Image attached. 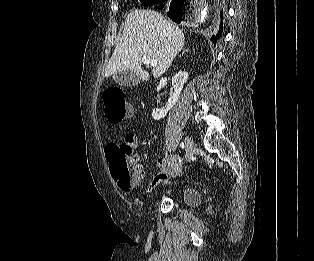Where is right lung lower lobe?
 Wrapping results in <instances>:
<instances>
[{"mask_svg":"<svg viewBox=\"0 0 314 261\" xmlns=\"http://www.w3.org/2000/svg\"><path fill=\"white\" fill-rule=\"evenodd\" d=\"M166 7L168 10V16L171 18L174 22L180 23L182 20H185V10L186 7L183 4V2H180L179 0H162L158 3L157 6H155V9H161L163 7ZM221 19L223 18V10L220 12ZM223 29V22L219 25V31L212 35L211 41L214 45H216V42L219 40L222 34Z\"/></svg>","mask_w":314,"mask_h":261,"instance_id":"1","label":"right lung lower lobe"}]
</instances>
